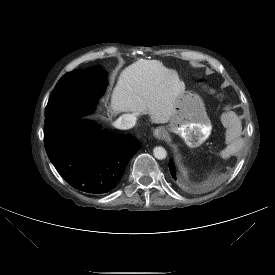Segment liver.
<instances>
[{"label":"liver","instance_id":"liver-1","mask_svg":"<svg viewBox=\"0 0 275 275\" xmlns=\"http://www.w3.org/2000/svg\"><path fill=\"white\" fill-rule=\"evenodd\" d=\"M181 92L173 70L158 60H138L122 71L111 106L114 112L144 113L153 123H167Z\"/></svg>","mask_w":275,"mask_h":275}]
</instances>
